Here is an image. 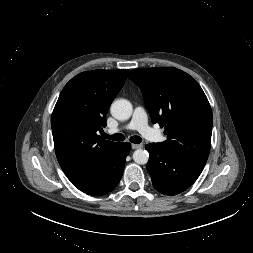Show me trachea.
<instances>
[{"label": "trachea", "instance_id": "trachea-1", "mask_svg": "<svg viewBox=\"0 0 253 253\" xmlns=\"http://www.w3.org/2000/svg\"><path fill=\"white\" fill-rule=\"evenodd\" d=\"M103 137L105 139H110L113 141H124V139H125L124 135L121 133H116L114 135H108V134L104 133ZM141 141H142V139L139 136H132L130 138V142L135 143V144H139V143H141Z\"/></svg>", "mask_w": 253, "mask_h": 253}]
</instances>
